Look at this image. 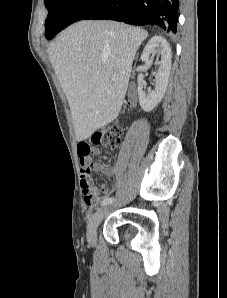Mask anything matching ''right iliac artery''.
<instances>
[{
  "instance_id": "obj_1",
  "label": "right iliac artery",
  "mask_w": 227,
  "mask_h": 298,
  "mask_svg": "<svg viewBox=\"0 0 227 298\" xmlns=\"http://www.w3.org/2000/svg\"><path fill=\"white\" fill-rule=\"evenodd\" d=\"M113 201H114V198H112V197L105 198V199H103V201L101 202V206H105V205H107V204H110V203H112Z\"/></svg>"
}]
</instances>
